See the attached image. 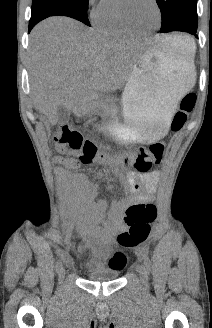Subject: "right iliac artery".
<instances>
[{
	"label": "right iliac artery",
	"mask_w": 212,
	"mask_h": 328,
	"mask_svg": "<svg viewBox=\"0 0 212 328\" xmlns=\"http://www.w3.org/2000/svg\"><path fill=\"white\" fill-rule=\"evenodd\" d=\"M62 267V262L61 260L59 259L57 262H56V271L59 272L60 268Z\"/></svg>",
	"instance_id": "82829eb1"
}]
</instances>
